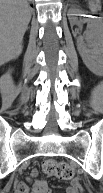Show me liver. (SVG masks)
I'll list each match as a JSON object with an SVG mask.
<instances>
[{"mask_svg":"<svg viewBox=\"0 0 103 193\" xmlns=\"http://www.w3.org/2000/svg\"><path fill=\"white\" fill-rule=\"evenodd\" d=\"M31 19L27 0H1L0 62L5 64L22 53V39Z\"/></svg>","mask_w":103,"mask_h":193,"instance_id":"1","label":"liver"}]
</instances>
